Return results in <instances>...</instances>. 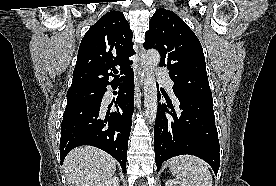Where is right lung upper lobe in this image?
<instances>
[{"instance_id":"cb5924a9","label":"right lung upper lobe","mask_w":276,"mask_h":186,"mask_svg":"<svg viewBox=\"0 0 276 186\" xmlns=\"http://www.w3.org/2000/svg\"><path fill=\"white\" fill-rule=\"evenodd\" d=\"M133 33L122 12L110 11L83 37L69 90L80 87H106L122 81L132 68L128 58L135 54ZM116 67H120L119 77ZM109 77L113 80L109 82Z\"/></svg>"}]
</instances>
